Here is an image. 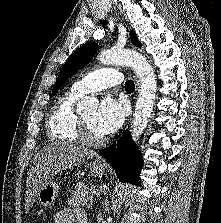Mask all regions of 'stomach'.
<instances>
[{"label":"stomach","instance_id":"0dacf381","mask_svg":"<svg viewBox=\"0 0 221 223\" xmlns=\"http://www.w3.org/2000/svg\"><path fill=\"white\" fill-rule=\"evenodd\" d=\"M89 167L90 172L95 177H102L106 174V166L99 162H92L89 164ZM58 192L59 185L52 179H48L37 194L39 203L44 207L51 206L55 202Z\"/></svg>","mask_w":221,"mask_h":223}]
</instances>
